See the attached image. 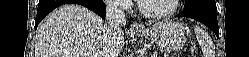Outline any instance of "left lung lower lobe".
Instances as JSON below:
<instances>
[{
  "instance_id": "left-lung-lower-lobe-1",
  "label": "left lung lower lobe",
  "mask_w": 249,
  "mask_h": 57,
  "mask_svg": "<svg viewBox=\"0 0 249 57\" xmlns=\"http://www.w3.org/2000/svg\"><path fill=\"white\" fill-rule=\"evenodd\" d=\"M177 17L198 20L213 30L218 36L217 8L215 0H191L185 3L184 10Z\"/></svg>"
}]
</instances>
